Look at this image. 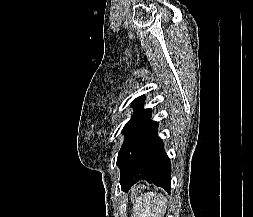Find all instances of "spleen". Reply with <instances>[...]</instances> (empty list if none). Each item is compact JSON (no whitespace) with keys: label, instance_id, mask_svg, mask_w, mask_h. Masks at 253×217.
<instances>
[{"label":"spleen","instance_id":"spleen-1","mask_svg":"<svg viewBox=\"0 0 253 217\" xmlns=\"http://www.w3.org/2000/svg\"><path fill=\"white\" fill-rule=\"evenodd\" d=\"M135 200L133 217H163L166 212V200L162 194L147 192Z\"/></svg>","mask_w":253,"mask_h":217}]
</instances>
